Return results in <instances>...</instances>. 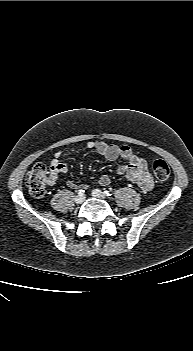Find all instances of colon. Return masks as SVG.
Returning <instances> with one entry per match:
<instances>
[{
    "mask_svg": "<svg viewBox=\"0 0 193 351\" xmlns=\"http://www.w3.org/2000/svg\"><path fill=\"white\" fill-rule=\"evenodd\" d=\"M152 171L159 181H166L170 177L169 166L164 160H155L152 164ZM48 178L49 171L45 164L37 163L34 165L26 177V185L33 197L43 198L45 196Z\"/></svg>",
    "mask_w": 193,
    "mask_h": 351,
    "instance_id": "obj_1",
    "label": "colon"
}]
</instances>
